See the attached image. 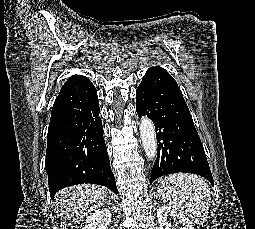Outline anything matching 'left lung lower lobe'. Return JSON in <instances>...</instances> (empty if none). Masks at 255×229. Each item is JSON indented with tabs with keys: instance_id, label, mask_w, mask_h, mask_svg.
I'll return each instance as SVG.
<instances>
[{
	"instance_id": "obj_1",
	"label": "left lung lower lobe",
	"mask_w": 255,
	"mask_h": 229,
	"mask_svg": "<svg viewBox=\"0 0 255 229\" xmlns=\"http://www.w3.org/2000/svg\"><path fill=\"white\" fill-rule=\"evenodd\" d=\"M138 116L147 115L157 132L158 157L151 183L164 175L187 172L213 177L189 108L175 79L162 67H150L136 91Z\"/></svg>"
}]
</instances>
